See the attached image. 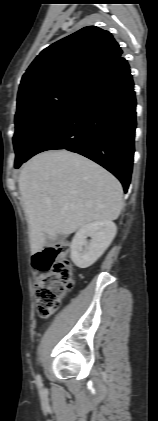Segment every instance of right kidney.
Here are the masks:
<instances>
[{"label":"right kidney","instance_id":"obj_1","mask_svg":"<svg viewBox=\"0 0 158 421\" xmlns=\"http://www.w3.org/2000/svg\"><path fill=\"white\" fill-rule=\"evenodd\" d=\"M117 232L112 221H95L81 227L71 242V260L79 268L94 264L109 247ZM87 237L91 241L87 242Z\"/></svg>","mask_w":158,"mask_h":421}]
</instances>
